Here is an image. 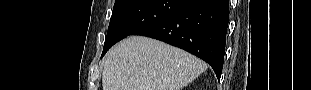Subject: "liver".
<instances>
[{
  "instance_id": "1",
  "label": "liver",
  "mask_w": 311,
  "mask_h": 90,
  "mask_svg": "<svg viewBox=\"0 0 311 90\" xmlns=\"http://www.w3.org/2000/svg\"><path fill=\"white\" fill-rule=\"evenodd\" d=\"M207 69L199 58L158 40L131 36L104 61L103 90H181Z\"/></svg>"
}]
</instances>
